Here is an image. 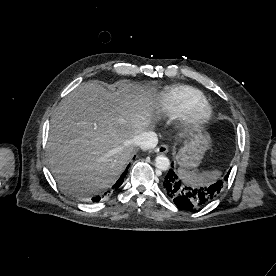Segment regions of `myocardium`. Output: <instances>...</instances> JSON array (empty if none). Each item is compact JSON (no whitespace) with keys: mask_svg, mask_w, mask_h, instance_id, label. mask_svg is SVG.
I'll return each instance as SVG.
<instances>
[{"mask_svg":"<svg viewBox=\"0 0 276 276\" xmlns=\"http://www.w3.org/2000/svg\"><path fill=\"white\" fill-rule=\"evenodd\" d=\"M212 117V108L207 103H201L191 108L184 116L185 125L191 130L202 128Z\"/></svg>","mask_w":276,"mask_h":276,"instance_id":"obj_1","label":"myocardium"}]
</instances>
